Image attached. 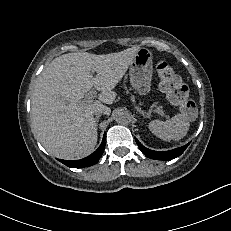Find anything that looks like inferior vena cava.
<instances>
[{
  "instance_id": "inferior-vena-cava-1",
  "label": "inferior vena cava",
  "mask_w": 231,
  "mask_h": 231,
  "mask_svg": "<svg viewBox=\"0 0 231 231\" xmlns=\"http://www.w3.org/2000/svg\"><path fill=\"white\" fill-rule=\"evenodd\" d=\"M107 108L105 106H102L94 111L95 115H101L102 113L106 114Z\"/></svg>"
}]
</instances>
